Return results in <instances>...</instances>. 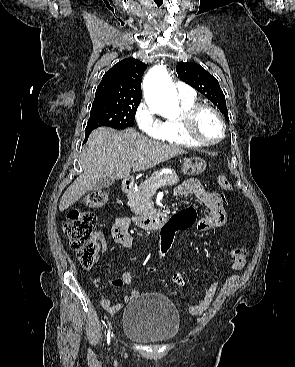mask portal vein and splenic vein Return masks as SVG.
Segmentation results:
<instances>
[{"label":"portal vein and splenic vein","instance_id":"obj_1","mask_svg":"<svg viewBox=\"0 0 295 367\" xmlns=\"http://www.w3.org/2000/svg\"><path fill=\"white\" fill-rule=\"evenodd\" d=\"M166 185V180H160L156 183H154L151 187L150 190L152 192H155L157 188L161 187V186H165Z\"/></svg>","mask_w":295,"mask_h":367}]
</instances>
